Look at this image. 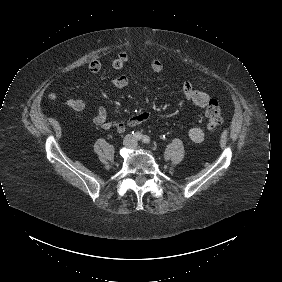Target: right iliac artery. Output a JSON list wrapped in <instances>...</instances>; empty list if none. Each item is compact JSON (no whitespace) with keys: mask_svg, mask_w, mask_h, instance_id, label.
I'll return each instance as SVG.
<instances>
[{"mask_svg":"<svg viewBox=\"0 0 282 282\" xmlns=\"http://www.w3.org/2000/svg\"><path fill=\"white\" fill-rule=\"evenodd\" d=\"M132 134L136 140L142 139V134L140 132H132Z\"/></svg>","mask_w":282,"mask_h":282,"instance_id":"82829eb1","label":"right iliac artery"}]
</instances>
